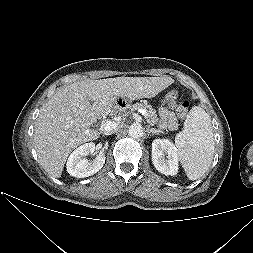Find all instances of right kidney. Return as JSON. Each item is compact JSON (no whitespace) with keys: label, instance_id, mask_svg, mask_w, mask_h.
<instances>
[{"label":"right kidney","instance_id":"right-kidney-1","mask_svg":"<svg viewBox=\"0 0 253 253\" xmlns=\"http://www.w3.org/2000/svg\"><path fill=\"white\" fill-rule=\"evenodd\" d=\"M95 151V144L90 142L79 146L68 158L67 171L71 176L77 178L89 177L97 173L105 163V156L98 155L92 162L85 158Z\"/></svg>","mask_w":253,"mask_h":253}]
</instances>
